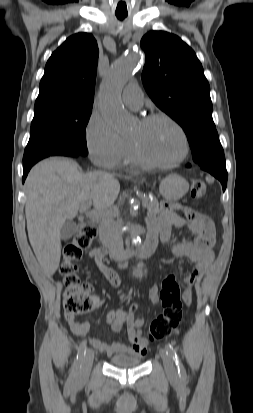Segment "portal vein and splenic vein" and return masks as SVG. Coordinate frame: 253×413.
<instances>
[{"mask_svg": "<svg viewBox=\"0 0 253 413\" xmlns=\"http://www.w3.org/2000/svg\"><path fill=\"white\" fill-rule=\"evenodd\" d=\"M91 201H87L81 208H80V213H85L87 216H90V213L88 212V209L91 206ZM144 207H147V203H142Z\"/></svg>", "mask_w": 253, "mask_h": 413, "instance_id": "obj_1", "label": "portal vein and splenic vein"}]
</instances>
